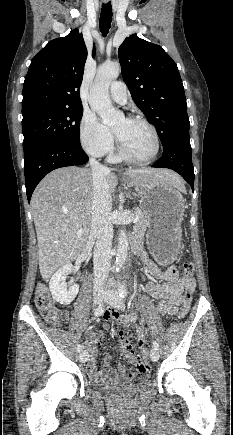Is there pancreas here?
I'll return each instance as SVG.
<instances>
[{"instance_id": "obj_1", "label": "pancreas", "mask_w": 233, "mask_h": 435, "mask_svg": "<svg viewBox=\"0 0 233 435\" xmlns=\"http://www.w3.org/2000/svg\"><path fill=\"white\" fill-rule=\"evenodd\" d=\"M135 217H138V221L135 223L133 229L137 237L142 238L147 229V220L145 214L141 209H136L134 212Z\"/></svg>"}]
</instances>
